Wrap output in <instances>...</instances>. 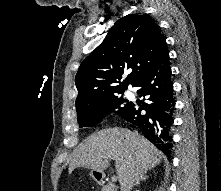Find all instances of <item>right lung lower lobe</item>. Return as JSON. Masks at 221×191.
<instances>
[{"label": "right lung lower lobe", "instance_id": "right-lung-lower-lobe-1", "mask_svg": "<svg viewBox=\"0 0 221 191\" xmlns=\"http://www.w3.org/2000/svg\"><path fill=\"white\" fill-rule=\"evenodd\" d=\"M134 87L140 96L147 97L146 102L133 104L123 118L138 126L144 136L159 150L170 157L172 148L171 126L175 100L169 66V53L155 63L137 82ZM146 111L142 114L141 111Z\"/></svg>", "mask_w": 221, "mask_h": 191}]
</instances>
